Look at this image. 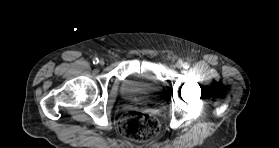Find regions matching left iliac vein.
Wrapping results in <instances>:
<instances>
[{
	"instance_id": "4c4485c4",
	"label": "left iliac vein",
	"mask_w": 279,
	"mask_h": 148,
	"mask_svg": "<svg viewBox=\"0 0 279 148\" xmlns=\"http://www.w3.org/2000/svg\"><path fill=\"white\" fill-rule=\"evenodd\" d=\"M176 66H177L178 68H181V67L183 66V64H182L181 61H178V62L176 63Z\"/></svg>"
}]
</instances>
